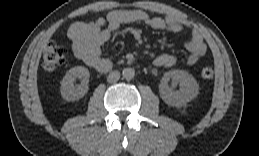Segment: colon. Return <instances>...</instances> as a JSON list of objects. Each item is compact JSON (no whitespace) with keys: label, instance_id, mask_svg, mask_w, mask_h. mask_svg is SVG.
Wrapping results in <instances>:
<instances>
[{"label":"colon","instance_id":"colon-1","mask_svg":"<svg viewBox=\"0 0 259 156\" xmlns=\"http://www.w3.org/2000/svg\"><path fill=\"white\" fill-rule=\"evenodd\" d=\"M66 57L67 49L63 45L50 42L43 51L42 67L46 72H53L65 63ZM200 74L203 79L209 80L214 72L211 67H204Z\"/></svg>","mask_w":259,"mask_h":156}]
</instances>
